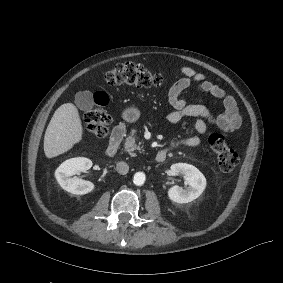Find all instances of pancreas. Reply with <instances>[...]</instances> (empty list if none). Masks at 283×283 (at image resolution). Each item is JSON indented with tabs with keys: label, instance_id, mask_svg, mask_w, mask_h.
<instances>
[{
	"label": "pancreas",
	"instance_id": "cf45deb5",
	"mask_svg": "<svg viewBox=\"0 0 283 283\" xmlns=\"http://www.w3.org/2000/svg\"><path fill=\"white\" fill-rule=\"evenodd\" d=\"M138 140V137L136 135V130H132L131 134L129 137L126 138V142L124 144V149L131 155L133 156V152L135 150L140 151V145L136 144V141Z\"/></svg>",
	"mask_w": 283,
	"mask_h": 283
}]
</instances>
